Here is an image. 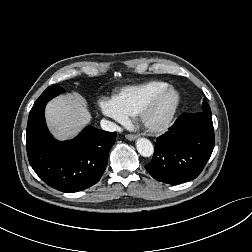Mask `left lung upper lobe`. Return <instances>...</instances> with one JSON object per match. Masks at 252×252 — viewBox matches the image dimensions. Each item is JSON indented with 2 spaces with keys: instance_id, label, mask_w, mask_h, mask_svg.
Here are the masks:
<instances>
[{
  "instance_id": "obj_1",
  "label": "left lung upper lobe",
  "mask_w": 252,
  "mask_h": 252,
  "mask_svg": "<svg viewBox=\"0 0 252 252\" xmlns=\"http://www.w3.org/2000/svg\"><path fill=\"white\" fill-rule=\"evenodd\" d=\"M202 112H210L211 113V109L206 101V99L203 100V105H202Z\"/></svg>"
}]
</instances>
